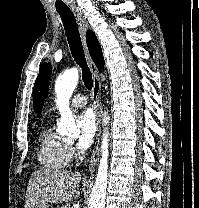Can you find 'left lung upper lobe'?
<instances>
[{"label":"left lung upper lobe","instance_id":"obj_1","mask_svg":"<svg viewBox=\"0 0 199 208\" xmlns=\"http://www.w3.org/2000/svg\"><path fill=\"white\" fill-rule=\"evenodd\" d=\"M51 74L50 63H43L40 67L38 77L34 84V109L40 115L44 100L48 95V82Z\"/></svg>","mask_w":199,"mask_h":208}]
</instances>
